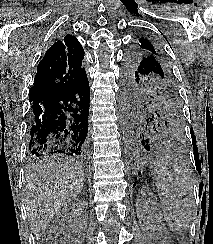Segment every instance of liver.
<instances>
[{
	"label": "liver",
	"mask_w": 213,
	"mask_h": 244,
	"mask_svg": "<svg viewBox=\"0 0 213 244\" xmlns=\"http://www.w3.org/2000/svg\"><path fill=\"white\" fill-rule=\"evenodd\" d=\"M82 166L72 158L55 155L34 164L25 177V202L31 230L39 237L54 215L83 190Z\"/></svg>",
	"instance_id": "1"
}]
</instances>
